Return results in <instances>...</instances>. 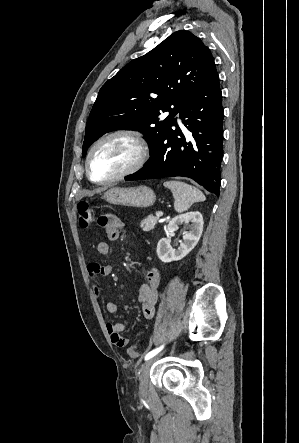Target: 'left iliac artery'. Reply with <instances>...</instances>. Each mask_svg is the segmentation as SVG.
Masks as SVG:
<instances>
[{
    "label": "left iliac artery",
    "mask_w": 299,
    "mask_h": 443,
    "mask_svg": "<svg viewBox=\"0 0 299 443\" xmlns=\"http://www.w3.org/2000/svg\"><path fill=\"white\" fill-rule=\"evenodd\" d=\"M163 347H164V345H162L159 348H156V349L150 351L149 353H147L146 356H145V360H149L152 357H154L155 355H157L163 349Z\"/></svg>",
    "instance_id": "obj_1"
}]
</instances>
